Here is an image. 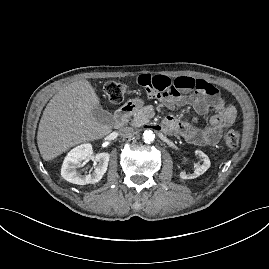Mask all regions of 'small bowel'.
<instances>
[{
    "mask_svg": "<svg viewBox=\"0 0 269 269\" xmlns=\"http://www.w3.org/2000/svg\"><path fill=\"white\" fill-rule=\"evenodd\" d=\"M176 79L158 73L142 75L138 78V83L144 92L153 94L155 99L167 102L170 106L190 104L199 114H206L211 109L215 110L216 114L211 117L209 125L205 128H198L173 116H169L164 124L168 131L179 133L194 145L216 144L222 130L235 121L237 114L235 107L227 104L218 90L205 80L186 76Z\"/></svg>",
    "mask_w": 269,
    "mask_h": 269,
    "instance_id": "obj_1",
    "label": "small bowel"
}]
</instances>
